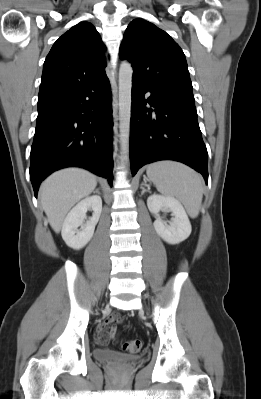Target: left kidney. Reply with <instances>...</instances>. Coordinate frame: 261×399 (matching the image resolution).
Listing matches in <instances>:
<instances>
[{"instance_id":"1","label":"left kidney","mask_w":261,"mask_h":399,"mask_svg":"<svg viewBox=\"0 0 261 399\" xmlns=\"http://www.w3.org/2000/svg\"><path fill=\"white\" fill-rule=\"evenodd\" d=\"M147 206L151 213L158 215L160 211H171L174 218L169 224L158 217L153 226L156 233L167 243L175 245L186 240L192 228L189 218L182 204L173 197L151 195L147 199Z\"/></svg>"}]
</instances>
